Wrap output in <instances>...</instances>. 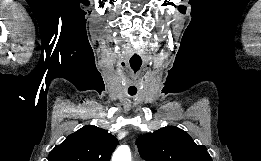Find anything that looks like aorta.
I'll use <instances>...</instances> for the list:
<instances>
[{"instance_id":"aorta-1","label":"aorta","mask_w":261,"mask_h":161,"mask_svg":"<svg viewBox=\"0 0 261 161\" xmlns=\"http://www.w3.org/2000/svg\"><path fill=\"white\" fill-rule=\"evenodd\" d=\"M111 161H131V152L129 147L120 146L113 153Z\"/></svg>"}]
</instances>
